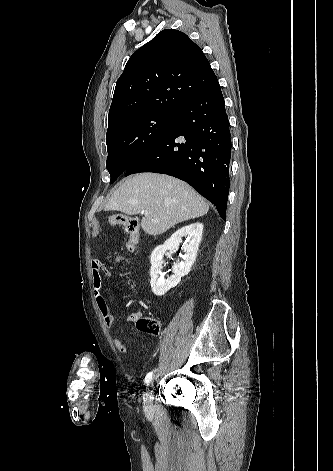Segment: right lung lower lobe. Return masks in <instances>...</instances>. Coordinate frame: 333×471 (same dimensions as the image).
I'll return each instance as SVG.
<instances>
[{
	"label": "right lung lower lobe",
	"instance_id": "right-lung-lower-lobe-1",
	"mask_svg": "<svg viewBox=\"0 0 333 471\" xmlns=\"http://www.w3.org/2000/svg\"><path fill=\"white\" fill-rule=\"evenodd\" d=\"M230 157L229 121L217 81L177 110L171 126L124 173L154 172L184 180L226 220Z\"/></svg>",
	"mask_w": 333,
	"mask_h": 471
}]
</instances>
